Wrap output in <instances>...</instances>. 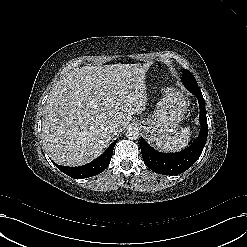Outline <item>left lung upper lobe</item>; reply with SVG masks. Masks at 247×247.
I'll return each instance as SVG.
<instances>
[{"label":"left lung upper lobe","mask_w":247,"mask_h":247,"mask_svg":"<svg viewBox=\"0 0 247 247\" xmlns=\"http://www.w3.org/2000/svg\"><path fill=\"white\" fill-rule=\"evenodd\" d=\"M181 80L184 83V85H198L192 73L186 69H184L183 71Z\"/></svg>","instance_id":"left-lung-upper-lobe-1"}]
</instances>
